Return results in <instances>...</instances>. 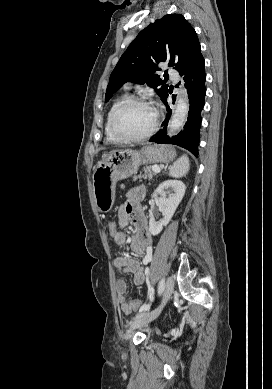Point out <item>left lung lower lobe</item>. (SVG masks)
Instances as JSON below:
<instances>
[{"label":"left lung lower lobe","instance_id":"obj_1","mask_svg":"<svg viewBox=\"0 0 272 389\" xmlns=\"http://www.w3.org/2000/svg\"><path fill=\"white\" fill-rule=\"evenodd\" d=\"M204 63V58L201 54V48L199 46L183 70L180 71V75L183 76L186 88L188 89L187 91L190 103L188 119L184 129L178 135L172 138L166 136L168 120L170 119L172 113L167 103V95L163 100L168 111L167 117L163 122L164 127L160 132L151 137V142L178 145L191 151L195 156L198 155V144L200 140L199 132L201 126L200 113L204 106V97L206 93V74L204 71Z\"/></svg>","mask_w":272,"mask_h":389}]
</instances>
